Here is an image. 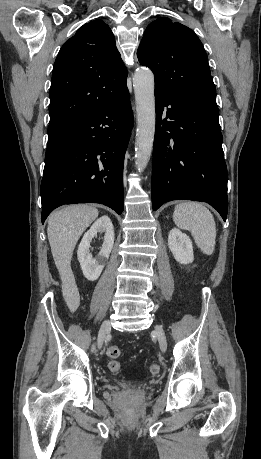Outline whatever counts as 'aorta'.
I'll return each instance as SVG.
<instances>
[{"mask_svg": "<svg viewBox=\"0 0 261 459\" xmlns=\"http://www.w3.org/2000/svg\"><path fill=\"white\" fill-rule=\"evenodd\" d=\"M136 102L137 133L135 142L136 168L142 172L151 157L155 134L154 74L145 67L138 68L133 77Z\"/></svg>", "mask_w": 261, "mask_h": 459, "instance_id": "1", "label": "aorta"}]
</instances>
